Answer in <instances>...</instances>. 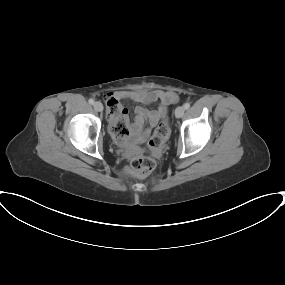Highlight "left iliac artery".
<instances>
[{
  "label": "left iliac artery",
  "mask_w": 285,
  "mask_h": 285,
  "mask_svg": "<svg viewBox=\"0 0 285 285\" xmlns=\"http://www.w3.org/2000/svg\"><path fill=\"white\" fill-rule=\"evenodd\" d=\"M189 108H190V104H189V103H185V104H184V109L187 110V109H189Z\"/></svg>",
  "instance_id": "left-iliac-artery-1"
}]
</instances>
